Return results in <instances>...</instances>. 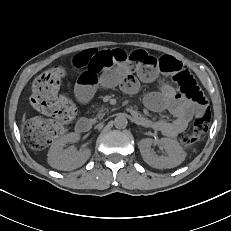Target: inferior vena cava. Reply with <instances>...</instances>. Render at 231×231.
<instances>
[{
  "label": "inferior vena cava",
  "mask_w": 231,
  "mask_h": 231,
  "mask_svg": "<svg viewBox=\"0 0 231 231\" xmlns=\"http://www.w3.org/2000/svg\"><path fill=\"white\" fill-rule=\"evenodd\" d=\"M103 125H104V122H103V121H99V122L94 126V128L97 130V129L101 128Z\"/></svg>",
  "instance_id": "inferior-vena-cava-1"
}]
</instances>
